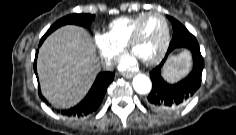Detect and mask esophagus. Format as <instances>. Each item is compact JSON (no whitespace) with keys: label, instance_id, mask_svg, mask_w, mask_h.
I'll list each match as a JSON object with an SVG mask.
<instances>
[{"label":"esophagus","instance_id":"obj_1","mask_svg":"<svg viewBox=\"0 0 236 135\" xmlns=\"http://www.w3.org/2000/svg\"><path fill=\"white\" fill-rule=\"evenodd\" d=\"M123 76H124L125 78H132V77L134 76V73H129V72H127V73H124Z\"/></svg>","mask_w":236,"mask_h":135}]
</instances>
